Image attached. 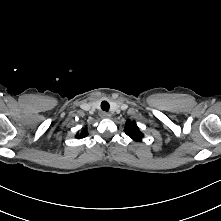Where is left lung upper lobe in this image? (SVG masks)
I'll return each instance as SVG.
<instances>
[{
	"mask_svg": "<svg viewBox=\"0 0 221 221\" xmlns=\"http://www.w3.org/2000/svg\"><path fill=\"white\" fill-rule=\"evenodd\" d=\"M125 133L135 141H141L143 137L136 123L130 120L126 122Z\"/></svg>",
	"mask_w": 221,
	"mask_h": 221,
	"instance_id": "left-lung-upper-lobe-1",
	"label": "left lung upper lobe"
}]
</instances>
